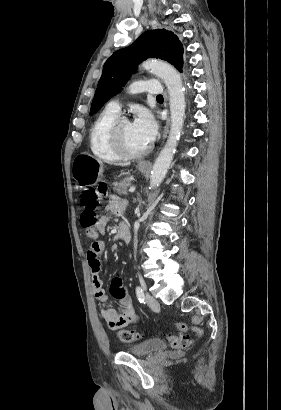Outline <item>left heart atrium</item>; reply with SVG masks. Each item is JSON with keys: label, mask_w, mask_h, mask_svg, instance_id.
Wrapping results in <instances>:
<instances>
[{"label": "left heart atrium", "mask_w": 281, "mask_h": 410, "mask_svg": "<svg viewBox=\"0 0 281 410\" xmlns=\"http://www.w3.org/2000/svg\"><path fill=\"white\" fill-rule=\"evenodd\" d=\"M132 126L138 138L145 145H149L154 141L157 134V123L148 110L139 109Z\"/></svg>", "instance_id": "1"}]
</instances>
